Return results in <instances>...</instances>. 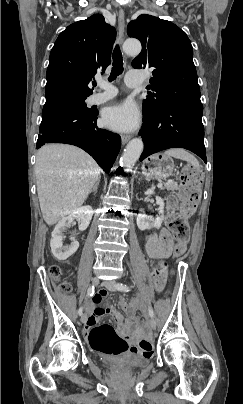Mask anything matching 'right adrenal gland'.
Here are the masks:
<instances>
[{
  "label": "right adrenal gland",
  "instance_id": "1",
  "mask_svg": "<svg viewBox=\"0 0 243 404\" xmlns=\"http://www.w3.org/2000/svg\"><path fill=\"white\" fill-rule=\"evenodd\" d=\"M99 184H100V178H99V180H97L95 186H93L91 192H94V194H96ZM91 192H90V194H91Z\"/></svg>",
  "mask_w": 243,
  "mask_h": 404
}]
</instances>
